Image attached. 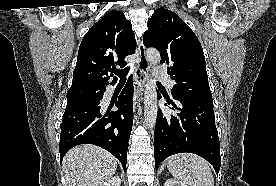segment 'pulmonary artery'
I'll list each match as a JSON object with an SVG mask.
<instances>
[{"instance_id":"pulmonary-artery-1","label":"pulmonary artery","mask_w":276,"mask_h":186,"mask_svg":"<svg viewBox=\"0 0 276 186\" xmlns=\"http://www.w3.org/2000/svg\"><path fill=\"white\" fill-rule=\"evenodd\" d=\"M153 75L159 79V80H162L163 82L166 83V85L168 86L169 89H172V87L174 86V81L171 80L168 75H167V72L165 69L159 67V66H155L153 68Z\"/></svg>"}]
</instances>
